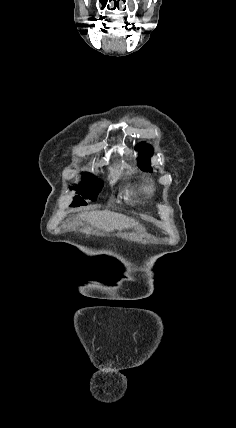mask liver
Segmentation results:
<instances>
[{
    "label": "liver",
    "mask_w": 236,
    "mask_h": 428,
    "mask_svg": "<svg viewBox=\"0 0 236 428\" xmlns=\"http://www.w3.org/2000/svg\"><path fill=\"white\" fill-rule=\"evenodd\" d=\"M82 220H85L87 224L107 230V232H113V230H124V228H131V226H137V222L123 216V214H114V212H83L81 214Z\"/></svg>",
    "instance_id": "obj_1"
}]
</instances>
